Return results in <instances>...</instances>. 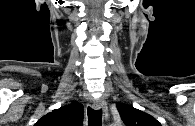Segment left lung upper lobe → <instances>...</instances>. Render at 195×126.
Wrapping results in <instances>:
<instances>
[{"instance_id": "obj_1", "label": "left lung upper lobe", "mask_w": 195, "mask_h": 126, "mask_svg": "<svg viewBox=\"0 0 195 126\" xmlns=\"http://www.w3.org/2000/svg\"><path fill=\"white\" fill-rule=\"evenodd\" d=\"M117 109L126 126H161L151 115L135 109L131 105L118 103Z\"/></svg>"}]
</instances>
